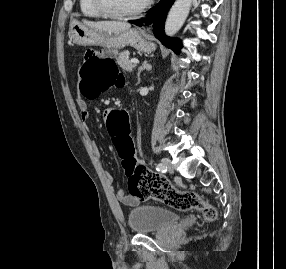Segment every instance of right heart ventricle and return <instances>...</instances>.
Here are the masks:
<instances>
[{
  "mask_svg": "<svg viewBox=\"0 0 286 269\" xmlns=\"http://www.w3.org/2000/svg\"><path fill=\"white\" fill-rule=\"evenodd\" d=\"M80 12L85 17L99 18L102 15L95 9L92 0H79Z\"/></svg>",
  "mask_w": 286,
  "mask_h": 269,
  "instance_id": "right-heart-ventricle-1",
  "label": "right heart ventricle"
}]
</instances>
